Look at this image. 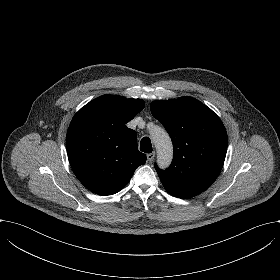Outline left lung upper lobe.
Wrapping results in <instances>:
<instances>
[{
	"instance_id": "left-lung-upper-lobe-1",
	"label": "left lung upper lobe",
	"mask_w": 280,
	"mask_h": 280,
	"mask_svg": "<svg viewBox=\"0 0 280 280\" xmlns=\"http://www.w3.org/2000/svg\"><path fill=\"white\" fill-rule=\"evenodd\" d=\"M150 108L173 142L171 166L160 170L155 165L167 192L187 199L208 189L227 152V133L220 118L192 97L154 101Z\"/></svg>"
}]
</instances>
